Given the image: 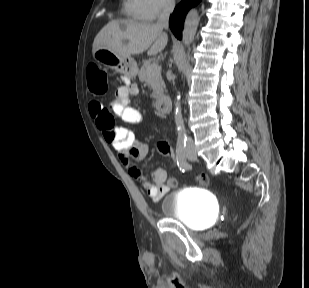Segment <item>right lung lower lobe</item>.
Returning a JSON list of instances; mask_svg holds the SVG:
<instances>
[{"label": "right lung lower lobe", "instance_id": "98d812e1", "mask_svg": "<svg viewBox=\"0 0 309 288\" xmlns=\"http://www.w3.org/2000/svg\"><path fill=\"white\" fill-rule=\"evenodd\" d=\"M200 1L201 0H182V2L175 8L169 25L172 32L178 39L182 38L181 31L186 13L191 7L197 5Z\"/></svg>", "mask_w": 309, "mask_h": 288}]
</instances>
